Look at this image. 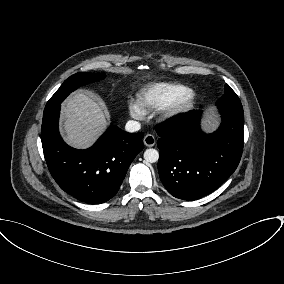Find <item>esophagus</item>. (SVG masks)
<instances>
[{"mask_svg": "<svg viewBox=\"0 0 284 284\" xmlns=\"http://www.w3.org/2000/svg\"><path fill=\"white\" fill-rule=\"evenodd\" d=\"M143 142H144L145 146L152 147V146L155 145L156 140H155V137L152 134H147V135L144 136Z\"/></svg>", "mask_w": 284, "mask_h": 284, "instance_id": "esophagus-1", "label": "esophagus"}]
</instances>
